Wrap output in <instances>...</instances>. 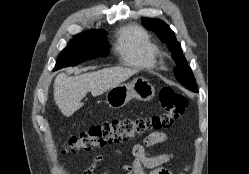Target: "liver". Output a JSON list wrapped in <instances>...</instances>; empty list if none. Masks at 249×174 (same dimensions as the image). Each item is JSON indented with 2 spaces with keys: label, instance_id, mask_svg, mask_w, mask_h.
Masks as SVG:
<instances>
[{
  "label": "liver",
  "instance_id": "liver-1",
  "mask_svg": "<svg viewBox=\"0 0 249 174\" xmlns=\"http://www.w3.org/2000/svg\"><path fill=\"white\" fill-rule=\"evenodd\" d=\"M137 72L136 69L111 67L75 77L61 73L54 81L55 103L62 114L69 117L83 106L81 101L88 92L93 97L99 96Z\"/></svg>",
  "mask_w": 249,
  "mask_h": 174
}]
</instances>
